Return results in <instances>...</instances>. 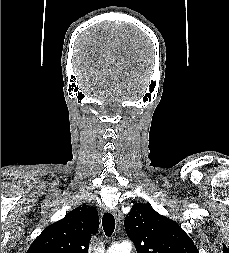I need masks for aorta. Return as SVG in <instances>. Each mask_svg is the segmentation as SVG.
I'll list each match as a JSON object with an SVG mask.
<instances>
[{
	"label": "aorta",
	"mask_w": 229,
	"mask_h": 253,
	"mask_svg": "<svg viewBox=\"0 0 229 253\" xmlns=\"http://www.w3.org/2000/svg\"><path fill=\"white\" fill-rule=\"evenodd\" d=\"M132 244L128 241L113 245L107 251V253H131Z\"/></svg>",
	"instance_id": "aorta-1"
}]
</instances>
